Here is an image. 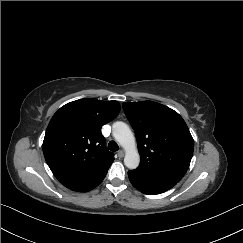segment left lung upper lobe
<instances>
[{
    "instance_id": "left-lung-upper-lobe-1",
    "label": "left lung upper lobe",
    "mask_w": 243,
    "mask_h": 243,
    "mask_svg": "<svg viewBox=\"0 0 243 243\" xmlns=\"http://www.w3.org/2000/svg\"><path fill=\"white\" fill-rule=\"evenodd\" d=\"M137 138L141 157L136 174L181 169L187 171L194 141L183 118L171 108L153 101L123 103Z\"/></svg>"
}]
</instances>
